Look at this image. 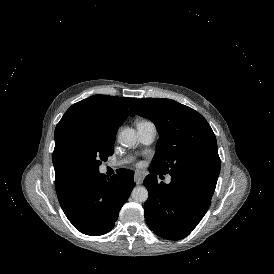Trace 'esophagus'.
Masks as SVG:
<instances>
[{"instance_id": "obj_1", "label": "esophagus", "mask_w": 274, "mask_h": 274, "mask_svg": "<svg viewBox=\"0 0 274 274\" xmlns=\"http://www.w3.org/2000/svg\"><path fill=\"white\" fill-rule=\"evenodd\" d=\"M143 179H144V175L138 171L135 172L134 174V181L137 185H140L142 184L143 182Z\"/></svg>"}]
</instances>
